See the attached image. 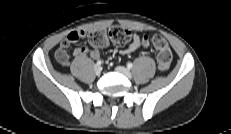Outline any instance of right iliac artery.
Segmentation results:
<instances>
[{"instance_id":"right-iliac-artery-1","label":"right iliac artery","mask_w":231,"mask_h":134,"mask_svg":"<svg viewBox=\"0 0 231 134\" xmlns=\"http://www.w3.org/2000/svg\"><path fill=\"white\" fill-rule=\"evenodd\" d=\"M96 63H97V65H101L102 64V62L100 60H98Z\"/></svg>"}]
</instances>
